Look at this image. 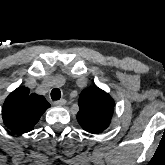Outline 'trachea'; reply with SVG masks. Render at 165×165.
Returning a JSON list of instances; mask_svg holds the SVG:
<instances>
[{
  "label": "trachea",
  "mask_w": 165,
  "mask_h": 165,
  "mask_svg": "<svg viewBox=\"0 0 165 165\" xmlns=\"http://www.w3.org/2000/svg\"><path fill=\"white\" fill-rule=\"evenodd\" d=\"M61 98V91L58 88H54L51 91V99L52 100H59Z\"/></svg>",
  "instance_id": "1"
}]
</instances>
